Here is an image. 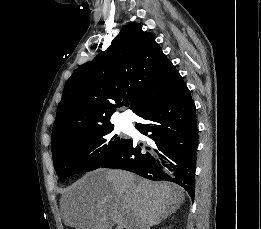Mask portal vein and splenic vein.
<instances>
[{
  "label": "portal vein and splenic vein",
  "mask_w": 261,
  "mask_h": 229,
  "mask_svg": "<svg viewBox=\"0 0 261 229\" xmlns=\"http://www.w3.org/2000/svg\"><path fill=\"white\" fill-rule=\"evenodd\" d=\"M123 223H124V221H119V223H118L119 227H117V229H122Z\"/></svg>",
  "instance_id": "18ae733b"
}]
</instances>
